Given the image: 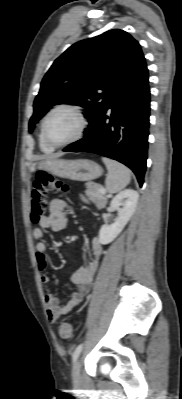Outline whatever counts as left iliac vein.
I'll use <instances>...</instances> for the list:
<instances>
[{"mask_svg":"<svg viewBox=\"0 0 182 399\" xmlns=\"http://www.w3.org/2000/svg\"><path fill=\"white\" fill-rule=\"evenodd\" d=\"M72 377L75 382L81 379V360H77L72 369Z\"/></svg>","mask_w":182,"mask_h":399,"instance_id":"1","label":"left iliac vein"}]
</instances>
